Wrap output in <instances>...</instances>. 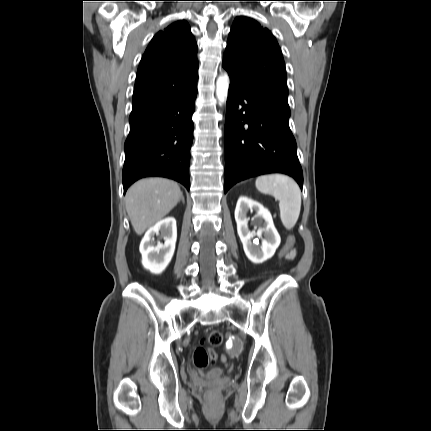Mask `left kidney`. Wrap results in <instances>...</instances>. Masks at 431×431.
Here are the masks:
<instances>
[{"mask_svg":"<svg viewBox=\"0 0 431 431\" xmlns=\"http://www.w3.org/2000/svg\"><path fill=\"white\" fill-rule=\"evenodd\" d=\"M248 211L256 212L255 223L259 226L257 233H253L248 229ZM235 220L237 232L248 259L255 264H260L270 259L281 241L270 212L260 203L242 196L236 204ZM262 233H264V239H262L261 244H258L253 238L262 236Z\"/></svg>","mask_w":431,"mask_h":431,"instance_id":"5707ae66","label":"left kidney"}]
</instances>
